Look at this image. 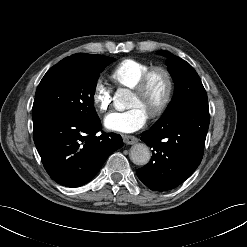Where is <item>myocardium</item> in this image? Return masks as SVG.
I'll list each match as a JSON object with an SVG mask.
<instances>
[{"mask_svg": "<svg viewBox=\"0 0 247 247\" xmlns=\"http://www.w3.org/2000/svg\"><path fill=\"white\" fill-rule=\"evenodd\" d=\"M157 73H160L165 77L166 91L159 106L149 114L150 118H157L161 116L165 112V110L167 109V107L169 106L172 100L175 83L171 72L165 67H161V66L151 67L141 76V78L138 80L136 85L132 88L133 92H135L136 94L143 95L148 88L151 78Z\"/></svg>", "mask_w": 247, "mask_h": 247, "instance_id": "f54148a6", "label": "myocardium"}]
</instances>
